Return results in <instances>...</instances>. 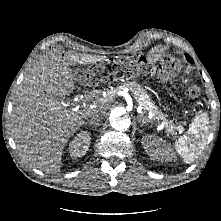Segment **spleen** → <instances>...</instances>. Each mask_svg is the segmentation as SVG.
Instances as JSON below:
<instances>
[{"label":"spleen","instance_id":"obj_1","mask_svg":"<svg viewBox=\"0 0 221 221\" xmlns=\"http://www.w3.org/2000/svg\"><path fill=\"white\" fill-rule=\"evenodd\" d=\"M208 134V115L205 112H199L190 124L187 135L178 138L174 144L177 153L186 163H191L199 157L205 148Z\"/></svg>","mask_w":221,"mask_h":221}]
</instances>
